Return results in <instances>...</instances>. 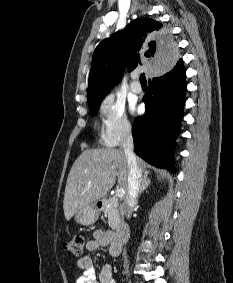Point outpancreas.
Returning <instances> with one entry per match:
<instances>
[{
  "mask_svg": "<svg viewBox=\"0 0 233 283\" xmlns=\"http://www.w3.org/2000/svg\"><path fill=\"white\" fill-rule=\"evenodd\" d=\"M109 202L110 204L105 208L104 212L108 215V224L110 228L117 229L123 216L122 205L119 203L116 196L110 198Z\"/></svg>",
  "mask_w": 233,
  "mask_h": 283,
  "instance_id": "cf45deb5",
  "label": "pancreas"
}]
</instances>
